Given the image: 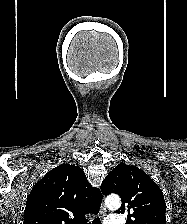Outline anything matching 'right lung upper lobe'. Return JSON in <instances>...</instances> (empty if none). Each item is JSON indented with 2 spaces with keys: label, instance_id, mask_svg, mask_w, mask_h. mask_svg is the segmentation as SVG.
Returning a JSON list of instances; mask_svg holds the SVG:
<instances>
[{
  "label": "right lung upper lobe",
  "instance_id": "1",
  "mask_svg": "<svg viewBox=\"0 0 187 224\" xmlns=\"http://www.w3.org/2000/svg\"><path fill=\"white\" fill-rule=\"evenodd\" d=\"M101 200L100 190L92 187L80 167L62 164L34 185L23 224H85V215L97 214Z\"/></svg>",
  "mask_w": 187,
  "mask_h": 224
}]
</instances>
